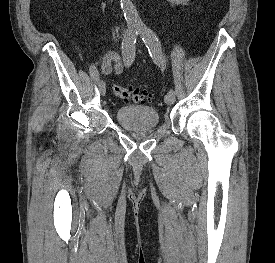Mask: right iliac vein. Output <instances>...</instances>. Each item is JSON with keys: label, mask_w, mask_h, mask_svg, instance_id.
Wrapping results in <instances>:
<instances>
[{"label": "right iliac vein", "mask_w": 275, "mask_h": 263, "mask_svg": "<svg viewBox=\"0 0 275 263\" xmlns=\"http://www.w3.org/2000/svg\"><path fill=\"white\" fill-rule=\"evenodd\" d=\"M98 87H99V91H100L101 95H105V93H106V84H105V82L99 81L98 82Z\"/></svg>", "instance_id": "63e3f726"}]
</instances>
